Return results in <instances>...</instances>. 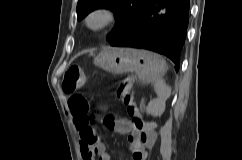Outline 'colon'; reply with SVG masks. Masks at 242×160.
Masks as SVG:
<instances>
[{"label": "colon", "instance_id": "1", "mask_svg": "<svg viewBox=\"0 0 242 160\" xmlns=\"http://www.w3.org/2000/svg\"><path fill=\"white\" fill-rule=\"evenodd\" d=\"M85 81L86 75L82 67L73 65L66 71L63 77L62 89L65 93L72 94L68 105L73 116L77 118L78 125L85 129L82 131L83 138L86 140H94L96 136L91 127L90 117L88 116L89 104L81 94L76 93L84 85ZM117 93L126 108L127 114L132 119L140 117L139 110L134 101L131 79H123L117 87Z\"/></svg>", "mask_w": 242, "mask_h": 160}]
</instances>
